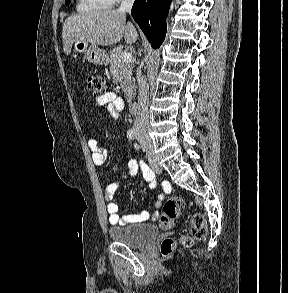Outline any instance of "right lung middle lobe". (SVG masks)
I'll return each instance as SVG.
<instances>
[{"mask_svg": "<svg viewBox=\"0 0 288 293\" xmlns=\"http://www.w3.org/2000/svg\"><path fill=\"white\" fill-rule=\"evenodd\" d=\"M71 0H65V4H69Z\"/></svg>", "mask_w": 288, "mask_h": 293, "instance_id": "dd1d6c3e", "label": "right lung middle lobe"}]
</instances>
